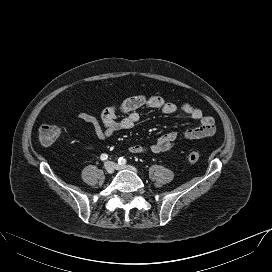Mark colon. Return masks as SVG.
Masks as SVG:
<instances>
[{
  "instance_id": "1",
  "label": "colon",
  "mask_w": 272,
  "mask_h": 272,
  "mask_svg": "<svg viewBox=\"0 0 272 272\" xmlns=\"http://www.w3.org/2000/svg\"><path fill=\"white\" fill-rule=\"evenodd\" d=\"M62 129L55 124H46L40 127L38 131V140L44 145L48 146L54 143L61 135ZM187 159L190 163H196L200 159L198 152H191L188 154Z\"/></svg>"
}]
</instances>
